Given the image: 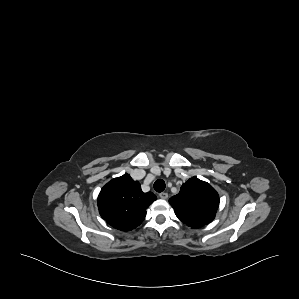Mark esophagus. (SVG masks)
Segmentation results:
<instances>
[{"label": "esophagus", "instance_id": "1", "mask_svg": "<svg viewBox=\"0 0 299 299\" xmlns=\"http://www.w3.org/2000/svg\"><path fill=\"white\" fill-rule=\"evenodd\" d=\"M159 197H160L161 199H167V198H168V193H166V192H161V193L159 194Z\"/></svg>", "mask_w": 299, "mask_h": 299}]
</instances>
